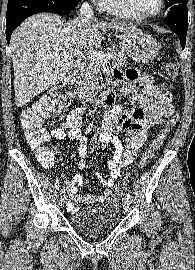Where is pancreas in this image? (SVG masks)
Returning <instances> with one entry per match:
<instances>
[{
	"label": "pancreas",
	"mask_w": 195,
	"mask_h": 270,
	"mask_svg": "<svg viewBox=\"0 0 195 270\" xmlns=\"http://www.w3.org/2000/svg\"><path fill=\"white\" fill-rule=\"evenodd\" d=\"M107 52L112 53V60L115 66L124 67L127 65L126 56L123 52L118 51L115 48H110L107 50ZM103 64L104 63L101 60H90L88 63H86L80 72V76L84 83L91 85L93 88H97Z\"/></svg>",
	"instance_id": "1"
}]
</instances>
